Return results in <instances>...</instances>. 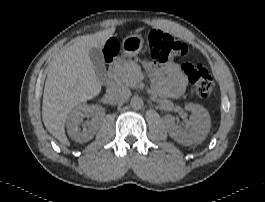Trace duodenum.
Segmentation results:
<instances>
[{"label": "duodenum", "mask_w": 265, "mask_h": 202, "mask_svg": "<svg viewBox=\"0 0 265 202\" xmlns=\"http://www.w3.org/2000/svg\"><path fill=\"white\" fill-rule=\"evenodd\" d=\"M122 61V57H118L116 62L113 63L108 71V73L106 74V76L104 77V84L109 86L112 85L116 79V72H117V65L119 62Z\"/></svg>", "instance_id": "1"}]
</instances>
